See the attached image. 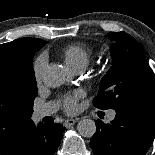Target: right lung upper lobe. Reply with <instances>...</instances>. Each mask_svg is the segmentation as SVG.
Masks as SVG:
<instances>
[{
    "label": "right lung upper lobe",
    "instance_id": "obj_1",
    "mask_svg": "<svg viewBox=\"0 0 155 155\" xmlns=\"http://www.w3.org/2000/svg\"><path fill=\"white\" fill-rule=\"evenodd\" d=\"M44 42L46 41L36 38H21L0 45V67L16 54L38 51L45 45ZM8 147L9 145L0 146V154L7 152Z\"/></svg>",
    "mask_w": 155,
    "mask_h": 155
}]
</instances>
